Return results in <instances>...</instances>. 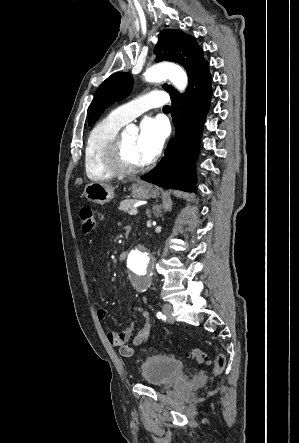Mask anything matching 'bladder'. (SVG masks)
<instances>
[{
  "instance_id": "31cf9c89",
  "label": "bladder",
  "mask_w": 299,
  "mask_h": 443,
  "mask_svg": "<svg viewBox=\"0 0 299 443\" xmlns=\"http://www.w3.org/2000/svg\"><path fill=\"white\" fill-rule=\"evenodd\" d=\"M142 380L152 387H164L185 378L183 364L170 356H153L145 359L140 365Z\"/></svg>"
}]
</instances>
